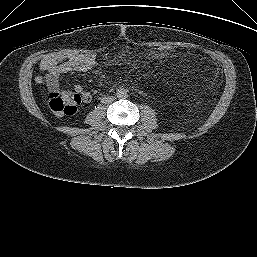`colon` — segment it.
I'll list each match as a JSON object with an SVG mask.
<instances>
[{"instance_id": "colon-1", "label": "colon", "mask_w": 257, "mask_h": 257, "mask_svg": "<svg viewBox=\"0 0 257 257\" xmlns=\"http://www.w3.org/2000/svg\"><path fill=\"white\" fill-rule=\"evenodd\" d=\"M158 51L162 55L171 53L169 45H161ZM85 101L83 95L70 91H50L47 95V102L50 109L58 115H73L78 106Z\"/></svg>"}]
</instances>
